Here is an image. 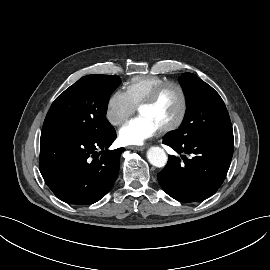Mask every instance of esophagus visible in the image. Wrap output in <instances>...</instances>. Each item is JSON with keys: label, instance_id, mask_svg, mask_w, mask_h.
<instances>
[{"label": "esophagus", "instance_id": "esophagus-1", "mask_svg": "<svg viewBox=\"0 0 270 270\" xmlns=\"http://www.w3.org/2000/svg\"><path fill=\"white\" fill-rule=\"evenodd\" d=\"M128 148L136 151H143L145 149L143 146H129Z\"/></svg>", "mask_w": 270, "mask_h": 270}]
</instances>
